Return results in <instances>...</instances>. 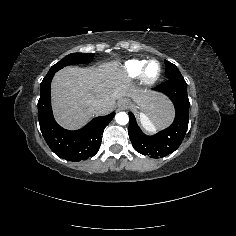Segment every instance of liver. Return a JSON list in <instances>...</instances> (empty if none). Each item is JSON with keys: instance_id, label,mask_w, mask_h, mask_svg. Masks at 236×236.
<instances>
[{"instance_id": "liver-1", "label": "liver", "mask_w": 236, "mask_h": 236, "mask_svg": "<svg viewBox=\"0 0 236 236\" xmlns=\"http://www.w3.org/2000/svg\"><path fill=\"white\" fill-rule=\"evenodd\" d=\"M50 95L53 118L59 127L67 131L86 127L94 114H110L116 100L124 96L132 98L146 115L161 126L173 121L175 111L172 103H165L155 93L132 84L131 79L122 73L119 60H110L99 66L63 67L52 78ZM95 100L102 103L97 110L90 107Z\"/></svg>"}]
</instances>
